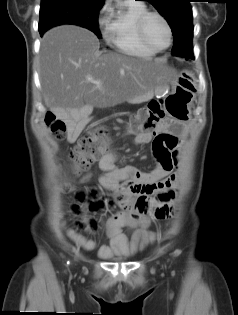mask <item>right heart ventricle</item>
Listing matches in <instances>:
<instances>
[{
	"label": "right heart ventricle",
	"instance_id": "obj_1",
	"mask_svg": "<svg viewBox=\"0 0 238 315\" xmlns=\"http://www.w3.org/2000/svg\"><path fill=\"white\" fill-rule=\"evenodd\" d=\"M147 11L138 0H123L105 20L103 36L107 45L126 55L154 56L157 52L146 47L137 32L138 20Z\"/></svg>",
	"mask_w": 238,
	"mask_h": 315
}]
</instances>
